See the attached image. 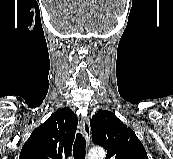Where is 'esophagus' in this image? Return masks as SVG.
<instances>
[{
    "label": "esophagus",
    "instance_id": "obj_1",
    "mask_svg": "<svg viewBox=\"0 0 173 159\" xmlns=\"http://www.w3.org/2000/svg\"><path fill=\"white\" fill-rule=\"evenodd\" d=\"M80 128H81L82 134L85 137L87 143H89L90 142L91 130H90L89 119L87 117H82L81 118Z\"/></svg>",
    "mask_w": 173,
    "mask_h": 159
}]
</instances>
